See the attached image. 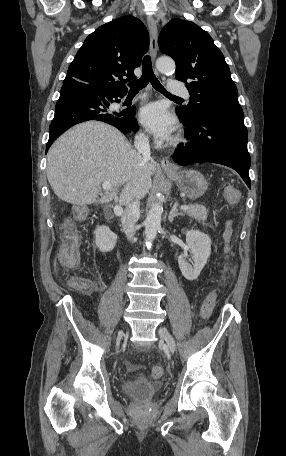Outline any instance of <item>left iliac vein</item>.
Returning a JSON list of instances; mask_svg holds the SVG:
<instances>
[{
	"mask_svg": "<svg viewBox=\"0 0 286 456\" xmlns=\"http://www.w3.org/2000/svg\"><path fill=\"white\" fill-rule=\"evenodd\" d=\"M159 336H160L161 339H163L166 342L169 350L172 353L176 351L175 340H174L173 336L169 333V331L166 328L160 327Z\"/></svg>",
	"mask_w": 286,
	"mask_h": 456,
	"instance_id": "obj_1",
	"label": "left iliac vein"
}]
</instances>
